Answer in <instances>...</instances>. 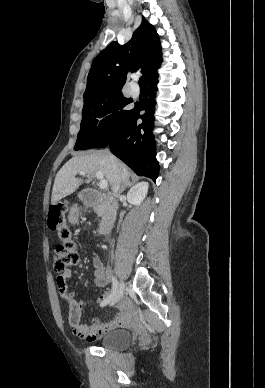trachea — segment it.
Here are the masks:
<instances>
[{
  "mask_svg": "<svg viewBox=\"0 0 265 388\" xmlns=\"http://www.w3.org/2000/svg\"><path fill=\"white\" fill-rule=\"evenodd\" d=\"M139 85L140 86H147V82H146V78L145 77H141L139 79Z\"/></svg>",
  "mask_w": 265,
  "mask_h": 388,
  "instance_id": "trachea-1",
  "label": "trachea"
}]
</instances>
